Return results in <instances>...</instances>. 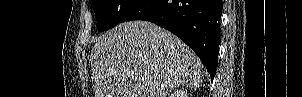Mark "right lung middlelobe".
Masks as SVG:
<instances>
[{"label":"right lung middle lobe","mask_w":302,"mask_h":97,"mask_svg":"<svg viewBox=\"0 0 302 97\" xmlns=\"http://www.w3.org/2000/svg\"><path fill=\"white\" fill-rule=\"evenodd\" d=\"M101 32L121 23L125 15L141 0H89Z\"/></svg>","instance_id":"obj_1"}]
</instances>
